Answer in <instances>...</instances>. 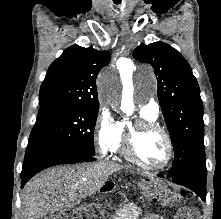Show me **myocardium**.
I'll return each instance as SVG.
<instances>
[{
	"instance_id": "1",
	"label": "myocardium",
	"mask_w": 221,
	"mask_h": 219,
	"mask_svg": "<svg viewBox=\"0 0 221 219\" xmlns=\"http://www.w3.org/2000/svg\"><path fill=\"white\" fill-rule=\"evenodd\" d=\"M145 131H155L159 132L165 139L167 144V157L164 163L160 166H151L143 162L137 155L135 150L136 139L142 132ZM123 155L133 162L134 164L138 165L139 167L148 170V171H164L166 170L171 164L174 159V144L170 134L159 124L154 121H149L146 119H138L135 122L127 125L126 131L124 134L123 140Z\"/></svg>"
}]
</instances>
